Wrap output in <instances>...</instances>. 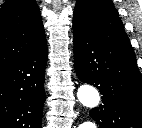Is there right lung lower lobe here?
Returning <instances> with one entry per match:
<instances>
[{"label":"right lung lower lobe","mask_w":142,"mask_h":128,"mask_svg":"<svg viewBox=\"0 0 142 128\" xmlns=\"http://www.w3.org/2000/svg\"><path fill=\"white\" fill-rule=\"evenodd\" d=\"M46 61L45 43L0 70V128H41Z\"/></svg>","instance_id":"right-lung-lower-lobe-1"}]
</instances>
